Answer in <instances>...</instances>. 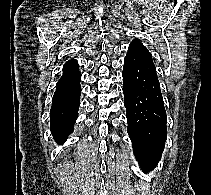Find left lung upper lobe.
I'll use <instances>...</instances> for the list:
<instances>
[{
	"label": "left lung upper lobe",
	"instance_id": "left-lung-upper-lobe-1",
	"mask_svg": "<svg viewBox=\"0 0 211 195\" xmlns=\"http://www.w3.org/2000/svg\"><path fill=\"white\" fill-rule=\"evenodd\" d=\"M126 58L132 60H146L153 63L152 55L139 39H134L129 45Z\"/></svg>",
	"mask_w": 211,
	"mask_h": 195
}]
</instances>
